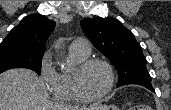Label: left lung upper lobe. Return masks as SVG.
<instances>
[{
  "label": "left lung upper lobe",
  "mask_w": 171,
  "mask_h": 110,
  "mask_svg": "<svg viewBox=\"0 0 171 110\" xmlns=\"http://www.w3.org/2000/svg\"><path fill=\"white\" fill-rule=\"evenodd\" d=\"M84 34L118 70L117 87L127 84L152 86L146 58L133 33L117 19L95 17L81 21Z\"/></svg>",
  "instance_id": "left-lung-upper-lobe-1"
}]
</instances>
